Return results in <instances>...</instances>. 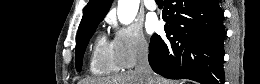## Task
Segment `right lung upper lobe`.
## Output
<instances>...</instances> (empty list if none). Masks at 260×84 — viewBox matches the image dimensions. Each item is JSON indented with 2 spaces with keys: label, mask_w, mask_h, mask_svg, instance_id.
<instances>
[{
  "label": "right lung upper lobe",
  "mask_w": 260,
  "mask_h": 84,
  "mask_svg": "<svg viewBox=\"0 0 260 84\" xmlns=\"http://www.w3.org/2000/svg\"><path fill=\"white\" fill-rule=\"evenodd\" d=\"M111 3L112 0H90L85 8L79 25L78 35L93 23L102 21L109 10Z\"/></svg>",
  "instance_id": "cb5924a9"
}]
</instances>
